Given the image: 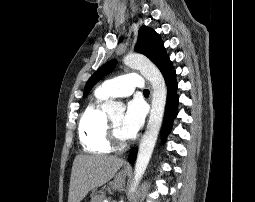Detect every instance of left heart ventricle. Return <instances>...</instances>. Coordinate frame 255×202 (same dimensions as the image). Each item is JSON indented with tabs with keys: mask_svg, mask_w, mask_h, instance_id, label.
Returning a JSON list of instances; mask_svg holds the SVG:
<instances>
[{
	"mask_svg": "<svg viewBox=\"0 0 255 202\" xmlns=\"http://www.w3.org/2000/svg\"><path fill=\"white\" fill-rule=\"evenodd\" d=\"M123 118H124L123 114H118L116 116H113L111 118V121L115 125L117 133L119 134V136L121 138L127 139L129 137L126 135V133L124 132L123 127H122Z\"/></svg>",
	"mask_w": 255,
	"mask_h": 202,
	"instance_id": "b2bd125f",
	"label": "left heart ventricle"
}]
</instances>
